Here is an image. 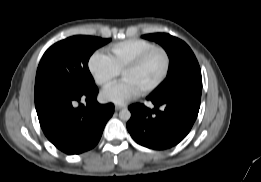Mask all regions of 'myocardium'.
Masks as SVG:
<instances>
[{
    "instance_id": "myocardium-1",
    "label": "myocardium",
    "mask_w": 261,
    "mask_h": 182,
    "mask_svg": "<svg viewBox=\"0 0 261 182\" xmlns=\"http://www.w3.org/2000/svg\"><path fill=\"white\" fill-rule=\"evenodd\" d=\"M155 52H160L163 55L164 69H163L160 77L154 83H152L151 85H149L142 91L145 94L150 93L153 90L157 89L165 81V79L167 78V76L169 74L170 66H171V59H170L169 53L167 52V50L165 48H163L161 46H154V47L144 51L138 57H136L134 60H132L129 64H127L124 67V69L121 71V74H123L126 71H131V70L138 68L146 61V59L148 57H150Z\"/></svg>"
}]
</instances>
